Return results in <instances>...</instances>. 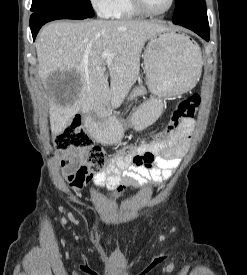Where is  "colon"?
<instances>
[{"label": "colon", "mask_w": 247, "mask_h": 275, "mask_svg": "<svg viewBox=\"0 0 247 275\" xmlns=\"http://www.w3.org/2000/svg\"><path fill=\"white\" fill-rule=\"evenodd\" d=\"M200 103L201 99L198 94H192L181 100L173 110L164 133L173 132L182 121L191 119L197 112ZM162 134H158L156 137L159 138ZM54 144L61 151L81 154L90 173L100 172L106 165V152L99 146L93 145L92 138L83 128L79 118H75L62 132L55 136ZM134 153L133 147L124 146L118 150L117 157L133 156ZM135 159L136 161L141 160L137 156ZM123 189L124 186L121 185L119 190L122 191Z\"/></svg>", "instance_id": "colon-1"}]
</instances>
